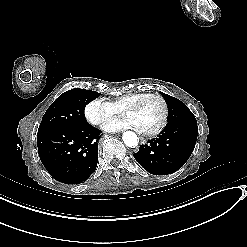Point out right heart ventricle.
Returning a JSON list of instances; mask_svg holds the SVG:
<instances>
[{
  "mask_svg": "<svg viewBox=\"0 0 247 247\" xmlns=\"http://www.w3.org/2000/svg\"><path fill=\"white\" fill-rule=\"evenodd\" d=\"M144 94H146V93L145 92H137V93H131V94L119 97V98L115 99L114 105L116 108L130 106L135 99L140 98Z\"/></svg>",
  "mask_w": 247,
  "mask_h": 247,
  "instance_id": "obj_1",
  "label": "right heart ventricle"
}]
</instances>
